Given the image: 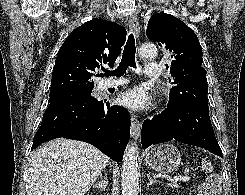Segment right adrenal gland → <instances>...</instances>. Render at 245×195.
I'll return each instance as SVG.
<instances>
[{
	"label": "right adrenal gland",
	"instance_id": "1",
	"mask_svg": "<svg viewBox=\"0 0 245 195\" xmlns=\"http://www.w3.org/2000/svg\"><path fill=\"white\" fill-rule=\"evenodd\" d=\"M106 184H107V177L106 174L104 175L103 179L101 176V181L100 182H96L93 184V187L96 188L98 191H104L106 188Z\"/></svg>",
	"mask_w": 245,
	"mask_h": 195
}]
</instances>
